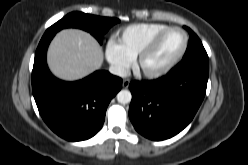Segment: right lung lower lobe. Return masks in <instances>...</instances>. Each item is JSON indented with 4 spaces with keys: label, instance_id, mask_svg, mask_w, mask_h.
Returning <instances> with one entry per match:
<instances>
[{
    "label": "right lung lower lobe",
    "instance_id": "obj_1",
    "mask_svg": "<svg viewBox=\"0 0 248 165\" xmlns=\"http://www.w3.org/2000/svg\"><path fill=\"white\" fill-rule=\"evenodd\" d=\"M54 35H43L36 50L33 96L53 132L68 141L86 140L102 128L108 104L120 91L122 79L107 71H96L76 82L55 78L46 63V51Z\"/></svg>",
    "mask_w": 248,
    "mask_h": 165
}]
</instances>
